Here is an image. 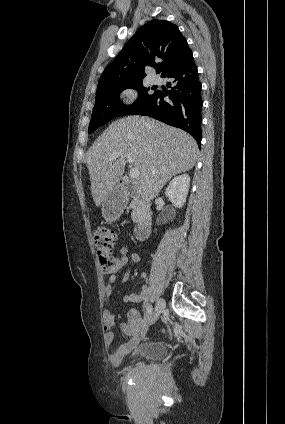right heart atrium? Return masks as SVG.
I'll list each match as a JSON object with an SVG mask.
<instances>
[{
    "label": "right heart atrium",
    "mask_w": 285,
    "mask_h": 424,
    "mask_svg": "<svg viewBox=\"0 0 285 424\" xmlns=\"http://www.w3.org/2000/svg\"><path fill=\"white\" fill-rule=\"evenodd\" d=\"M137 92L131 87H126L119 92V98L123 105L129 106L133 104L137 99Z\"/></svg>",
    "instance_id": "1"
}]
</instances>
